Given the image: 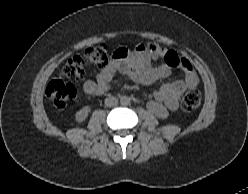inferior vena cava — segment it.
Wrapping results in <instances>:
<instances>
[{
    "label": "inferior vena cava",
    "mask_w": 248,
    "mask_h": 194,
    "mask_svg": "<svg viewBox=\"0 0 248 194\" xmlns=\"http://www.w3.org/2000/svg\"><path fill=\"white\" fill-rule=\"evenodd\" d=\"M118 104V99L116 97H108L105 99V105L107 107H113V106H116Z\"/></svg>",
    "instance_id": "inferior-vena-cava-1"
}]
</instances>
